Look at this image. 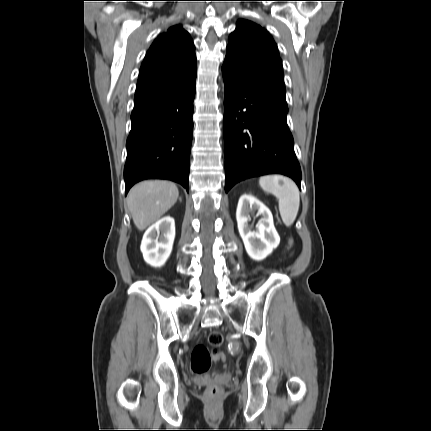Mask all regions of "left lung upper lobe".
Segmentation results:
<instances>
[{
	"instance_id": "1",
	"label": "left lung upper lobe",
	"mask_w": 431,
	"mask_h": 431,
	"mask_svg": "<svg viewBox=\"0 0 431 431\" xmlns=\"http://www.w3.org/2000/svg\"><path fill=\"white\" fill-rule=\"evenodd\" d=\"M222 72L286 102L278 48L271 35L251 21L240 20L230 35Z\"/></svg>"
}]
</instances>
